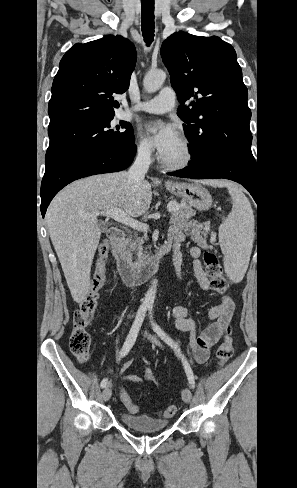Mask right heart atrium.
<instances>
[{
    "instance_id": "right-heart-atrium-1",
    "label": "right heart atrium",
    "mask_w": 297,
    "mask_h": 488,
    "mask_svg": "<svg viewBox=\"0 0 297 488\" xmlns=\"http://www.w3.org/2000/svg\"><path fill=\"white\" fill-rule=\"evenodd\" d=\"M135 149L137 154L143 158H148L152 154V146L150 142L141 135H138L136 139Z\"/></svg>"
}]
</instances>
